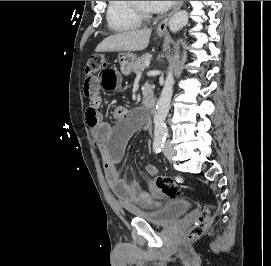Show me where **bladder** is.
Masks as SVG:
<instances>
[{"label": "bladder", "mask_w": 271, "mask_h": 266, "mask_svg": "<svg viewBox=\"0 0 271 266\" xmlns=\"http://www.w3.org/2000/svg\"><path fill=\"white\" fill-rule=\"evenodd\" d=\"M190 207V202L178 200L149 211L132 209L130 213L133 217L143 219L152 225L165 227L177 221Z\"/></svg>", "instance_id": "1"}]
</instances>
